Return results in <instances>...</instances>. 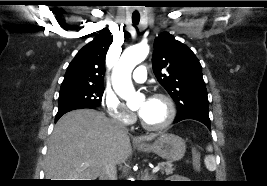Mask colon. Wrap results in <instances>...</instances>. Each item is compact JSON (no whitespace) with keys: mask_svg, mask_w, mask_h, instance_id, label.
Returning a JSON list of instances; mask_svg holds the SVG:
<instances>
[{"mask_svg":"<svg viewBox=\"0 0 267 186\" xmlns=\"http://www.w3.org/2000/svg\"><path fill=\"white\" fill-rule=\"evenodd\" d=\"M192 163H193V167L196 170L200 169V167H201V158H200V154H199L198 151L194 152Z\"/></svg>","mask_w":267,"mask_h":186,"instance_id":"1","label":"colon"}]
</instances>
